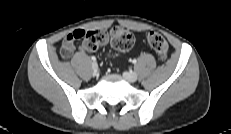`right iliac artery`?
<instances>
[{
    "label": "right iliac artery",
    "instance_id": "obj_1",
    "mask_svg": "<svg viewBox=\"0 0 231 134\" xmlns=\"http://www.w3.org/2000/svg\"><path fill=\"white\" fill-rule=\"evenodd\" d=\"M91 59L95 62L96 61V58L94 56L91 57Z\"/></svg>",
    "mask_w": 231,
    "mask_h": 134
}]
</instances>
